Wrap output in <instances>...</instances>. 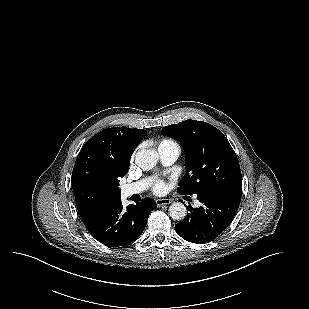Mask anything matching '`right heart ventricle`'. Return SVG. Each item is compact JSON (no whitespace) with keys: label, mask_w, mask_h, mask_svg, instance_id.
<instances>
[{"label":"right heart ventricle","mask_w":309,"mask_h":309,"mask_svg":"<svg viewBox=\"0 0 309 309\" xmlns=\"http://www.w3.org/2000/svg\"><path fill=\"white\" fill-rule=\"evenodd\" d=\"M161 145H176V146H178L174 141H172V140H163L160 144H159V146H161Z\"/></svg>","instance_id":"1"}]
</instances>
